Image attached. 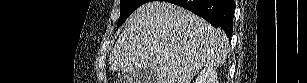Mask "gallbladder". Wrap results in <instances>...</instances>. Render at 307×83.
I'll return each instance as SVG.
<instances>
[{
  "instance_id": "gallbladder-1",
  "label": "gallbladder",
  "mask_w": 307,
  "mask_h": 83,
  "mask_svg": "<svg viewBox=\"0 0 307 83\" xmlns=\"http://www.w3.org/2000/svg\"><path fill=\"white\" fill-rule=\"evenodd\" d=\"M156 80V72L149 67L134 69L121 76L122 83H155Z\"/></svg>"
}]
</instances>
